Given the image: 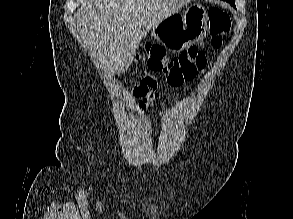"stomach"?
<instances>
[{"label": "stomach", "instance_id": "obj_1", "mask_svg": "<svg viewBox=\"0 0 293 219\" xmlns=\"http://www.w3.org/2000/svg\"><path fill=\"white\" fill-rule=\"evenodd\" d=\"M208 29V15L201 5L189 7L183 16L173 14L156 27L151 35L166 48L179 52L192 44L202 42Z\"/></svg>", "mask_w": 293, "mask_h": 219}]
</instances>
